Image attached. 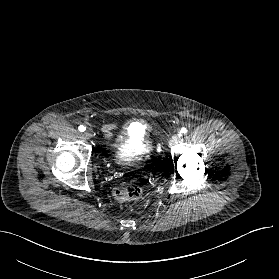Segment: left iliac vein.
Returning a JSON list of instances; mask_svg holds the SVG:
<instances>
[{
	"mask_svg": "<svg viewBox=\"0 0 279 279\" xmlns=\"http://www.w3.org/2000/svg\"><path fill=\"white\" fill-rule=\"evenodd\" d=\"M181 134L180 133H176L175 135H173L172 139H171V143L172 144H177L180 140Z\"/></svg>",
	"mask_w": 279,
	"mask_h": 279,
	"instance_id": "4c4485c4",
	"label": "left iliac vein"
}]
</instances>
